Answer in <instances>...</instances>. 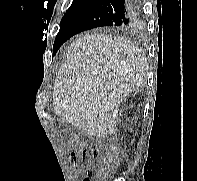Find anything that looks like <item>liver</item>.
I'll return each mask as SVG.
<instances>
[{
	"label": "liver",
	"instance_id": "liver-1",
	"mask_svg": "<svg viewBox=\"0 0 197 181\" xmlns=\"http://www.w3.org/2000/svg\"><path fill=\"white\" fill-rule=\"evenodd\" d=\"M147 61L126 39L90 34L66 50L54 84V111L90 136L117 130L119 105L147 81Z\"/></svg>",
	"mask_w": 197,
	"mask_h": 181
}]
</instances>
